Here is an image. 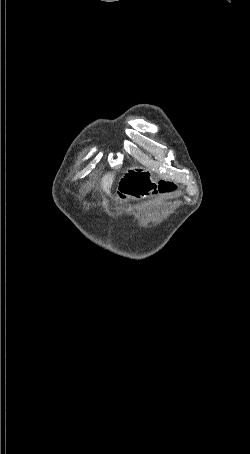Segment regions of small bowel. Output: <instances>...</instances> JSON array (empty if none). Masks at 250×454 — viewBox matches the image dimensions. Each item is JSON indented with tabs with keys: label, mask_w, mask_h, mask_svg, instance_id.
Returning a JSON list of instances; mask_svg holds the SVG:
<instances>
[{
	"label": "small bowel",
	"mask_w": 250,
	"mask_h": 454,
	"mask_svg": "<svg viewBox=\"0 0 250 454\" xmlns=\"http://www.w3.org/2000/svg\"><path fill=\"white\" fill-rule=\"evenodd\" d=\"M173 185L166 182H154L149 175L137 172L126 174L118 186L120 199H139L145 196L155 195L161 191H172Z\"/></svg>",
	"instance_id": "small-bowel-1"
}]
</instances>
